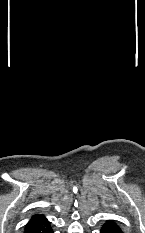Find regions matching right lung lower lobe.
Returning a JSON list of instances; mask_svg holds the SVG:
<instances>
[{
	"label": "right lung lower lobe",
	"mask_w": 145,
	"mask_h": 233,
	"mask_svg": "<svg viewBox=\"0 0 145 233\" xmlns=\"http://www.w3.org/2000/svg\"><path fill=\"white\" fill-rule=\"evenodd\" d=\"M25 233H53V230L50 222L43 217L28 225L25 228Z\"/></svg>",
	"instance_id": "obj_1"
}]
</instances>
